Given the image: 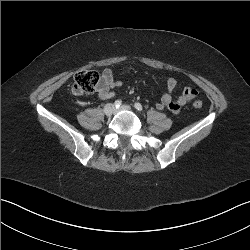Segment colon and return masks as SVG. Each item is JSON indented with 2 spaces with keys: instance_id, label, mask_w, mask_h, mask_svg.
Masks as SVG:
<instances>
[{
  "instance_id": "5ec220e1",
  "label": "colon",
  "mask_w": 250,
  "mask_h": 250,
  "mask_svg": "<svg viewBox=\"0 0 250 250\" xmlns=\"http://www.w3.org/2000/svg\"><path fill=\"white\" fill-rule=\"evenodd\" d=\"M99 82L100 76L96 71H80L74 77L72 92L74 94H91L96 91ZM193 106L195 108H201L203 106V103L200 100H194Z\"/></svg>"
}]
</instances>
